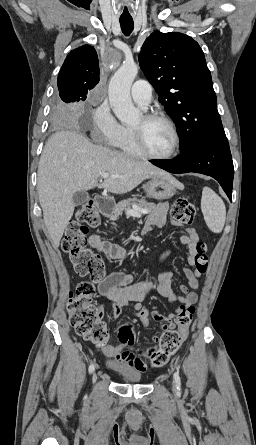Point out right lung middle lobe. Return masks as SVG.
<instances>
[{
  "label": "right lung middle lobe",
  "mask_w": 256,
  "mask_h": 445,
  "mask_svg": "<svg viewBox=\"0 0 256 445\" xmlns=\"http://www.w3.org/2000/svg\"><path fill=\"white\" fill-rule=\"evenodd\" d=\"M60 103L52 113V118L56 122H65L69 118V103L78 102L84 99L77 98L70 92H60Z\"/></svg>",
  "instance_id": "1"
}]
</instances>
